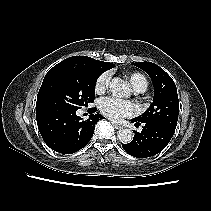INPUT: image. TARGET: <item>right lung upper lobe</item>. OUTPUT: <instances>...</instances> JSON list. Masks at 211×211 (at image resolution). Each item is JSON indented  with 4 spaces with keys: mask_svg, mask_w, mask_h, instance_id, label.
I'll list each match as a JSON object with an SVG mask.
<instances>
[{
    "mask_svg": "<svg viewBox=\"0 0 211 211\" xmlns=\"http://www.w3.org/2000/svg\"><path fill=\"white\" fill-rule=\"evenodd\" d=\"M62 63H69L74 65L85 66L88 68L98 69L103 72L114 67V64L109 62L98 61L87 56H73L62 61Z\"/></svg>",
    "mask_w": 211,
    "mask_h": 211,
    "instance_id": "right-lung-upper-lobe-1",
    "label": "right lung upper lobe"
}]
</instances>
